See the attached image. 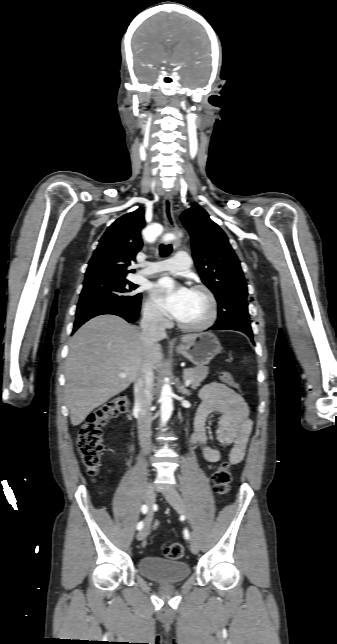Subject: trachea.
I'll list each match as a JSON object with an SVG mask.
<instances>
[{"mask_svg": "<svg viewBox=\"0 0 337 644\" xmlns=\"http://www.w3.org/2000/svg\"><path fill=\"white\" fill-rule=\"evenodd\" d=\"M171 251H172V245L171 244L161 245V247H160V254L162 256H166V255L170 254Z\"/></svg>", "mask_w": 337, "mask_h": 644, "instance_id": "trachea-1", "label": "trachea"}]
</instances>
